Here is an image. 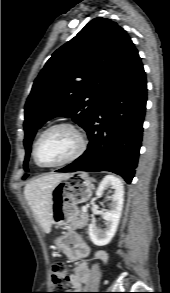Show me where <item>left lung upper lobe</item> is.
I'll list each match as a JSON object with an SVG mask.
<instances>
[{
  "label": "left lung upper lobe",
  "mask_w": 170,
  "mask_h": 293,
  "mask_svg": "<svg viewBox=\"0 0 170 293\" xmlns=\"http://www.w3.org/2000/svg\"><path fill=\"white\" fill-rule=\"evenodd\" d=\"M133 48L123 28L98 17L53 53L25 105L26 171L37 129L56 116L72 118L86 129L108 84Z\"/></svg>",
  "instance_id": "5c2ea615"
}]
</instances>
